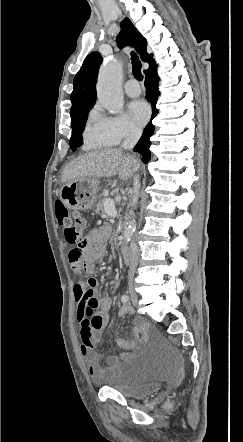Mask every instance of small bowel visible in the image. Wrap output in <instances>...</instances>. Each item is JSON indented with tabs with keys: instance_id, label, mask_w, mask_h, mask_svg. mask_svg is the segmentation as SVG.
Returning a JSON list of instances; mask_svg holds the SVG:
<instances>
[{
	"instance_id": "c3829d8e",
	"label": "small bowel",
	"mask_w": 243,
	"mask_h": 442,
	"mask_svg": "<svg viewBox=\"0 0 243 442\" xmlns=\"http://www.w3.org/2000/svg\"><path fill=\"white\" fill-rule=\"evenodd\" d=\"M111 227L107 224L90 230L85 240L84 259L73 264L69 261L71 268L79 273L85 270L93 275L95 266L101 262L107 253L106 241L110 235ZM98 281L90 276L84 281H78L73 287V295L76 302V321L79 327L80 346L79 353L84 359L87 371L95 382H101L108 378L116 369L119 358L109 356L106 358V365L101 363V355L96 352V345L103 338L104 328L109 320L113 301L110 297H99L97 289ZM131 312L129 305H123L121 314ZM148 325L143 320H135L133 340L117 337L115 343L124 350H133L137 345H142L147 340ZM126 353L122 358H126Z\"/></svg>"
}]
</instances>
